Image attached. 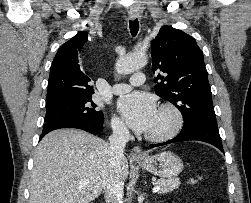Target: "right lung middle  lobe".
<instances>
[{
  "instance_id": "dd1d6c3e",
  "label": "right lung middle lobe",
  "mask_w": 251,
  "mask_h": 203,
  "mask_svg": "<svg viewBox=\"0 0 251 203\" xmlns=\"http://www.w3.org/2000/svg\"><path fill=\"white\" fill-rule=\"evenodd\" d=\"M96 104L92 98L69 102L66 104L46 108V116L44 121L48 122L63 117H84L97 123H104V115L101 111H97Z\"/></svg>"
}]
</instances>
